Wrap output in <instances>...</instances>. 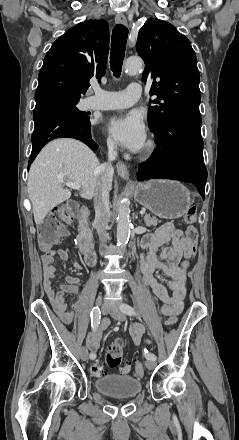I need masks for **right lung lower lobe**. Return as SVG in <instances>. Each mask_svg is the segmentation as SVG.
<instances>
[{"label":"right lung lower lobe","instance_id":"98d812e1","mask_svg":"<svg viewBox=\"0 0 239 440\" xmlns=\"http://www.w3.org/2000/svg\"><path fill=\"white\" fill-rule=\"evenodd\" d=\"M33 119L35 122L32 135L33 147L28 168L42 147L56 138H75L84 142L92 150L98 148V145L91 138L89 117L87 119H80L62 105L44 103L36 105Z\"/></svg>","mask_w":239,"mask_h":440}]
</instances>
